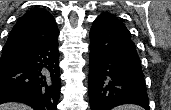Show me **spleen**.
Listing matches in <instances>:
<instances>
[{
    "label": "spleen",
    "instance_id": "1",
    "mask_svg": "<svg viewBox=\"0 0 171 110\" xmlns=\"http://www.w3.org/2000/svg\"><path fill=\"white\" fill-rule=\"evenodd\" d=\"M114 110H141V108L134 104H127L123 106H118Z\"/></svg>",
    "mask_w": 171,
    "mask_h": 110
}]
</instances>
